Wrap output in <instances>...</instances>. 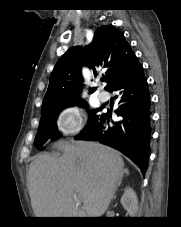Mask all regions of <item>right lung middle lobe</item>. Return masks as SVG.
Instances as JSON below:
<instances>
[{
    "label": "right lung middle lobe",
    "instance_id": "obj_1",
    "mask_svg": "<svg viewBox=\"0 0 181 227\" xmlns=\"http://www.w3.org/2000/svg\"><path fill=\"white\" fill-rule=\"evenodd\" d=\"M75 104H80L87 108V103L83 100L76 99L73 101L57 104L50 106L48 108L42 109V117L40 120V125L36 134L35 138V147L39 150H43L44 147L43 145L47 142V140H56L59 136L60 133H58L57 126H56V119L59 114V112L68 107V106H73ZM100 111V109H94L90 113V122L89 125L94 124L97 122L99 116L97 113ZM87 126V127H88Z\"/></svg>",
    "mask_w": 181,
    "mask_h": 227
}]
</instances>
